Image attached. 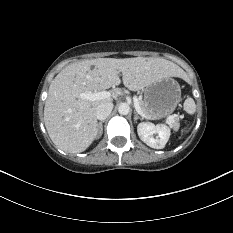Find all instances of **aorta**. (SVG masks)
I'll list each match as a JSON object with an SVG mask.
<instances>
[{
    "instance_id": "762f6f07",
    "label": "aorta",
    "mask_w": 233,
    "mask_h": 233,
    "mask_svg": "<svg viewBox=\"0 0 233 233\" xmlns=\"http://www.w3.org/2000/svg\"><path fill=\"white\" fill-rule=\"evenodd\" d=\"M118 112L121 115H127L130 112V106L127 103H121L118 107Z\"/></svg>"
}]
</instances>
